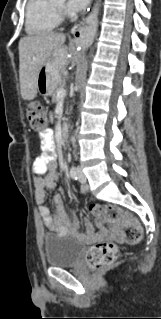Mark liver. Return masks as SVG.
<instances>
[{
    "mask_svg": "<svg viewBox=\"0 0 161 319\" xmlns=\"http://www.w3.org/2000/svg\"><path fill=\"white\" fill-rule=\"evenodd\" d=\"M66 36L62 33H41L26 36L19 41V77L21 95L24 100H33L37 94L38 73L52 52L61 49ZM73 51V50H72ZM67 52L62 55L66 64Z\"/></svg>",
    "mask_w": 161,
    "mask_h": 319,
    "instance_id": "6515ba94",
    "label": "liver"
}]
</instances>
